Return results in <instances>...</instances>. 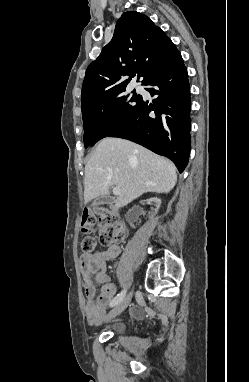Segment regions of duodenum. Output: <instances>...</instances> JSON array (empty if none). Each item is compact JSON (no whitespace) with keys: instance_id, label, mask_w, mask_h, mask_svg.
Segmentation results:
<instances>
[{"instance_id":"obj_1","label":"duodenum","mask_w":249,"mask_h":382,"mask_svg":"<svg viewBox=\"0 0 249 382\" xmlns=\"http://www.w3.org/2000/svg\"><path fill=\"white\" fill-rule=\"evenodd\" d=\"M112 211H113V213H115V214L118 213V209H117L115 206L112 207Z\"/></svg>"}]
</instances>
